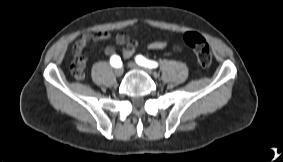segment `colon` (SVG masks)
I'll list each match as a JSON object with an SVG mask.
<instances>
[{
    "label": "colon",
    "instance_id": "5ec220e1",
    "mask_svg": "<svg viewBox=\"0 0 283 162\" xmlns=\"http://www.w3.org/2000/svg\"><path fill=\"white\" fill-rule=\"evenodd\" d=\"M184 42L193 49L197 57L198 64L203 69L208 68L211 65L212 54L210 47L202 35L196 32H187L184 35ZM71 73L75 79L80 80L84 78V70L79 67L73 68Z\"/></svg>",
    "mask_w": 283,
    "mask_h": 162
}]
</instances>
